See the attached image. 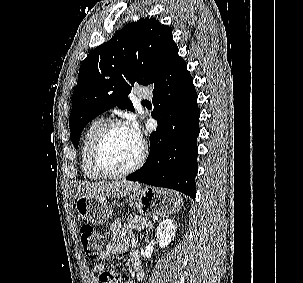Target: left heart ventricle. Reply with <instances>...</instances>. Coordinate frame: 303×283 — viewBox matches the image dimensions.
<instances>
[{"mask_svg":"<svg viewBox=\"0 0 303 283\" xmlns=\"http://www.w3.org/2000/svg\"><path fill=\"white\" fill-rule=\"evenodd\" d=\"M141 144L135 140L128 127H114L103 145V159L112 170H122L134 163Z\"/></svg>","mask_w":303,"mask_h":283,"instance_id":"b2bd125f","label":"left heart ventricle"}]
</instances>
